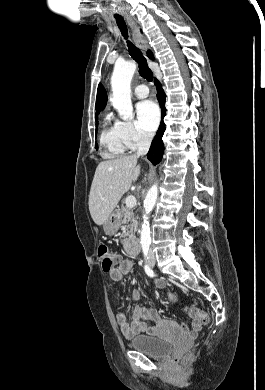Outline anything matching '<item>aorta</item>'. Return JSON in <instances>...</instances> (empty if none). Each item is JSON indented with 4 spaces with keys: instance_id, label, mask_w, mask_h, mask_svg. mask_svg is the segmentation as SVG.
Instances as JSON below:
<instances>
[{
    "instance_id": "762f6f07",
    "label": "aorta",
    "mask_w": 265,
    "mask_h": 390,
    "mask_svg": "<svg viewBox=\"0 0 265 390\" xmlns=\"http://www.w3.org/2000/svg\"><path fill=\"white\" fill-rule=\"evenodd\" d=\"M136 71V63L133 61L116 63L111 77L112 105L118 111L121 119L130 120L133 117V107L131 102V80ZM158 196V185L154 183L148 190L144 200L143 223L141 226L140 243L142 247L151 244V232L148 215L155 206Z\"/></svg>"
}]
</instances>
